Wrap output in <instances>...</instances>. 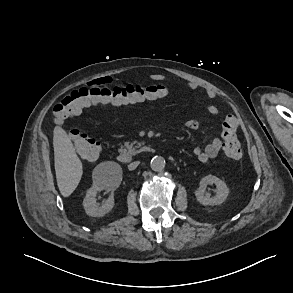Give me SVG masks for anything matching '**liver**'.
<instances>
[{
    "instance_id": "obj_1",
    "label": "liver",
    "mask_w": 293,
    "mask_h": 293,
    "mask_svg": "<svg viewBox=\"0 0 293 293\" xmlns=\"http://www.w3.org/2000/svg\"><path fill=\"white\" fill-rule=\"evenodd\" d=\"M54 165L59 191L63 197L70 196L78 186L82 174V162L66 131L57 127L53 136Z\"/></svg>"
}]
</instances>
